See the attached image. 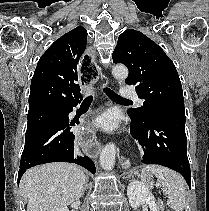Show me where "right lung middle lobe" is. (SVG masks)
Wrapping results in <instances>:
<instances>
[{"label": "right lung middle lobe", "instance_id": "dd1d6c3e", "mask_svg": "<svg viewBox=\"0 0 209 211\" xmlns=\"http://www.w3.org/2000/svg\"><path fill=\"white\" fill-rule=\"evenodd\" d=\"M64 108H46L28 112V125L25 135V143L32 140L48 125L60 118Z\"/></svg>", "mask_w": 209, "mask_h": 211}]
</instances>
